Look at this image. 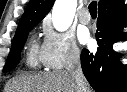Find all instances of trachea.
<instances>
[{"mask_svg": "<svg viewBox=\"0 0 127 92\" xmlns=\"http://www.w3.org/2000/svg\"><path fill=\"white\" fill-rule=\"evenodd\" d=\"M89 11L91 16H97V2L96 1H92L89 6Z\"/></svg>", "mask_w": 127, "mask_h": 92, "instance_id": "obj_1", "label": "trachea"}]
</instances>
